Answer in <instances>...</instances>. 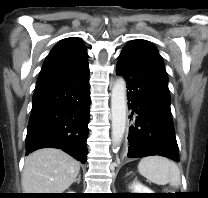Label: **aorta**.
I'll use <instances>...</instances> for the list:
<instances>
[{"label":"aorta","mask_w":208,"mask_h":198,"mask_svg":"<svg viewBox=\"0 0 208 198\" xmlns=\"http://www.w3.org/2000/svg\"><path fill=\"white\" fill-rule=\"evenodd\" d=\"M127 96L126 82L118 78L111 92V120L113 147L121 144L126 128Z\"/></svg>","instance_id":"1"}]
</instances>
